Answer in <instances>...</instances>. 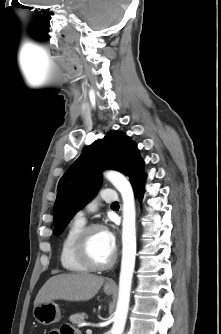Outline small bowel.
Returning <instances> with one entry per match:
<instances>
[{"instance_id":"obj_1","label":"small bowel","mask_w":221,"mask_h":334,"mask_svg":"<svg viewBox=\"0 0 221 334\" xmlns=\"http://www.w3.org/2000/svg\"><path fill=\"white\" fill-rule=\"evenodd\" d=\"M51 333H56V334H76V332L68 327H61L60 330H53Z\"/></svg>"}]
</instances>
